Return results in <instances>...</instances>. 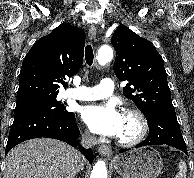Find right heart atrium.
I'll return each instance as SVG.
<instances>
[{
    "label": "right heart atrium",
    "instance_id": "d8ad5b80",
    "mask_svg": "<svg viewBox=\"0 0 194 178\" xmlns=\"http://www.w3.org/2000/svg\"><path fill=\"white\" fill-rule=\"evenodd\" d=\"M83 136L86 140H92L93 139V136L91 135V133L89 131H85Z\"/></svg>",
    "mask_w": 194,
    "mask_h": 178
}]
</instances>
